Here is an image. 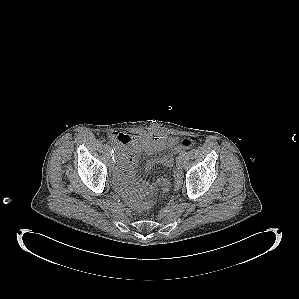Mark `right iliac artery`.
Returning <instances> with one entry per match:
<instances>
[{"label": "right iliac artery", "instance_id": "right-iliac-artery-1", "mask_svg": "<svg viewBox=\"0 0 299 299\" xmlns=\"http://www.w3.org/2000/svg\"><path fill=\"white\" fill-rule=\"evenodd\" d=\"M114 150H115V149H114ZM114 150L112 149V153H111V155L113 156V157H112L113 160H114V158H115V157H114Z\"/></svg>", "mask_w": 299, "mask_h": 299}]
</instances>
